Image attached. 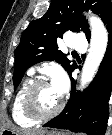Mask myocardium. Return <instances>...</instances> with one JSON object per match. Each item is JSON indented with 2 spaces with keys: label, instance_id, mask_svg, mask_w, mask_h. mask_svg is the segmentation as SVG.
<instances>
[{
  "label": "myocardium",
  "instance_id": "myocardium-1",
  "mask_svg": "<svg viewBox=\"0 0 112 135\" xmlns=\"http://www.w3.org/2000/svg\"><path fill=\"white\" fill-rule=\"evenodd\" d=\"M49 84L47 80L45 79H39L35 80L31 83V85L28 87V89L25 92L24 98H23V107L24 111L27 114L28 117L35 121H45L49 120L51 118H54L57 116L63 109L64 107V101L61 99L59 105L51 112L48 113H43L39 111L37 105H36V100H35V95L37 90L43 86Z\"/></svg>",
  "mask_w": 112,
  "mask_h": 135
}]
</instances>
